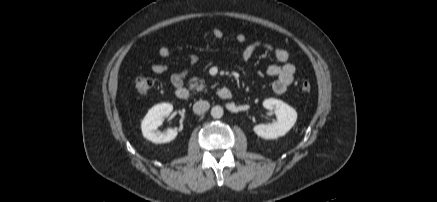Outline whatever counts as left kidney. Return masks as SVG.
Returning <instances> with one entry per match:
<instances>
[{"mask_svg": "<svg viewBox=\"0 0 437 202\" xmlns=\"http://www.w3.org/2000/svg\"><path fill=\"white\" fill-rule=\"evenodd\" d=\"M263 106L275 114L277 121L268 125H255L253 130L258 136L264 139H276L284 136L294 126L297 112L288 104L278 99L269 98L264 100Z\"/></svg>", "mask_w": 437, "mask_h": 202, "instance_id": "left-kidney-1", "label": "left kidney"}]
</instances>
